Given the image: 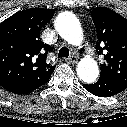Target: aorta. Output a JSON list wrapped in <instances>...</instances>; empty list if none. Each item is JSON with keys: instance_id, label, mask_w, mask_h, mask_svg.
<instances>
[{"instance_id": "aorta-1", "label": "aorta", "mask_w": 127, "mask_h": 127, "mask_svg": "<svg viewBox=\"0 0 127 127\" xmlns=\"http://www.w3.org/2000/svg\"><path fill=\"white\" fill-rule=\"evenodd\" d=\"M55 27L60 36L69 44L80 45L83 40L82 28L79 20L69 12H63L56 18ZM77 74L85 83L94 82L99 75L97 62L87 56L77 65Z\"/></svg>"}]
</instances>
